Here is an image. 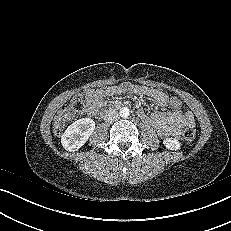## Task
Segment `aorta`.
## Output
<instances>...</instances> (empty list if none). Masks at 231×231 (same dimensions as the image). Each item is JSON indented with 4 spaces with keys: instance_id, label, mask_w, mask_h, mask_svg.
<instances>
[{
    "instance_id": "1",
    "label": "aorta",
    "mask_w": 231,
    "mask_h": 231,
    "mask_svg": "<svg viewBox=\"0 0 231 231\" xmlns=\"http://www.w3.org/2000/svg\"><path fill=\"white\" fill-rule=\"evenodd\" d=\"M130 114V110L127 107H122L119 111V115L123 118H127Z\"/></svg>"
}]
</instances>
